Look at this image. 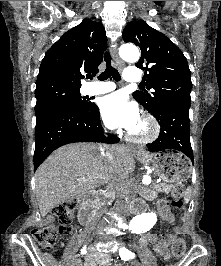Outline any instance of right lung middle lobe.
Masks as SVG:
<instances>
[{
  "label": "right lung middle lobe",
  "mask_w": 221,
  "mask_h": 266,
  "mask_svg": "<svg viewBox=\"0 0 221 266\" xmlns=\"http://www.w3.org/2000/svg\"><path fill=\"white\" fill-rule=\"evenodd\" d=\"M36 121L59 110L84 111L90 106L80 95V88L64 85L36 87Z\"/></svg>",
  "instance_id": "dd1d6c3e"
}]
</instances>
